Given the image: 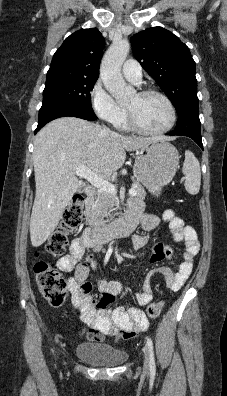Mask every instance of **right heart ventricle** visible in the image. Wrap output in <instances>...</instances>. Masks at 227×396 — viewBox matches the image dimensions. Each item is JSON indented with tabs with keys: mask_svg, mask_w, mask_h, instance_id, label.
I'll list each match as a JSON object with an SVG mask.
<instances>
[{
	"mask_svg": "<svg viewBox=\"0 0 227 396\" xmlns=\"http://www.w3.org/2000/svg\"><path fill=\"white\" fill-rule=\"evenodd\" d=\"M115 126L120 129V130H125L128 131L130 130V126L128 124V120H127V114L126 112L124 113V115L121 117V119L115 124Z\"/></svg>",
	"mask_w": 227,
	"mask_h": 396,
	"instance_id": "obj_1",
	"label": "right heart ventricle"
}]
</instances>
